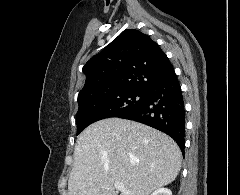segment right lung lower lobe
Returning a JSON list of instances; mask_svg holds the SVG:
<instances>
[{
	"label": "right lung lower lobe",
	"mask_w": 240,
	"mask_h": 195,
	"mask_svg": "<svg viewBox=\"0 0 240 195\" xmlns=\"http://www.w3.org/2000/svg\"><path fill=\"white\" fill-rule=\"evenodd\" d=\"M117 117L134 120L166 133L184 152V101L175 72L146 91L145 99L138 106Z\"/></svg>",
	"instance_id": "obj_1"
}]
</instances>
